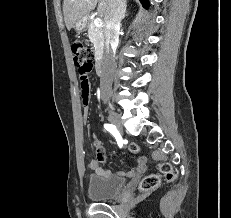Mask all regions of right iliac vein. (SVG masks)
<instances>
[{
  "label": "right iliac vein",
  "instance_id": "1",
  "mask_svg": "<svg viewBox=\"0 0 231 218\" xmlns=\"http://www.w3.org/2000/svg\"><path fill=\"white\" fill-rule=\"evenodd\" d=\"M107 110H108V116H109L111 123L117 128V130L120 133H122V125H121L119 115L111 107H109Z\"/></svg>",
  "mask_w": 231,
  "mask_h": 218
}]
</instances>
